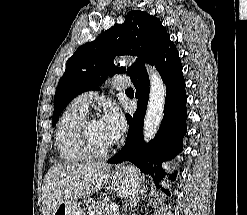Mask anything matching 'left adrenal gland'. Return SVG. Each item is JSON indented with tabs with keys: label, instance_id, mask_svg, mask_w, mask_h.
Returning a JSON list of instances; mask_svg holds the SVG:
<instances>
[{
	"label": "left adrenal gland",
	"instance_id": "left-adrenal-gland-1",
	"mask_svg": "<svg viewBox=\"0 0 247 215\" xmlns=\"http://www.w3.org/2000/svg\"><path fill=\"white\" fill-rule=\"evenodd\" d=\"M141 198L137 197V198H133L130 201V208H134L135 206H137V203L140 201Z\"/></svg>",
	"mask_w": 247,
	"mask_h": 215
}]
</instances>
